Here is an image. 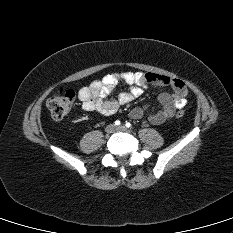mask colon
Returning a JSON list of instances; mask_svg holds the SVG:
<instances>
[{
  "label": "colon",
  "mask_w": 233,
  "mask_h": 233,
  "mask_svg": "<svg viewBox=\"0 0 233 233\" xmlns=\"http://www.w3.org/2000/svg\"><path fill=\"white\" fill-rule=\"evenodd\" d=\"M75 100V92L73 90H67L63 94L53 96L47 100V107L56 120L64 118L72 109ZM184 116V111L179 110L177 117Z\"/></svg>",
  "instance_id": "colon-1"
}]
</instances>
